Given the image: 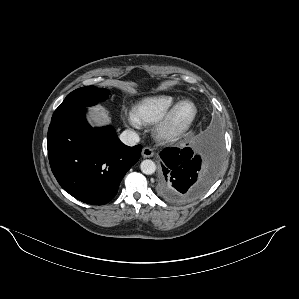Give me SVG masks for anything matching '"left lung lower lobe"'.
Wrapping results in <instances>:
<instances>
[{
    "label": "left lung lower lobe",
    "instance_id": "left-lung-lower-lobe-1",
    "mask_svg": "<svg viewBox=\"0 0 299 299\" xmlns=\"http://www.w3.org/2000/svg\"><path fill=\"white\" fill-rule=\"evenodd\" d=\"M194 147L166 148L160 153L162 171L157 192L165 200L185 203L200 196L217 177L221 166L219 142L199 140Z\"/></svg>",
    "mask_w": 299,
    "mask_h": 299
}]
</instances>
